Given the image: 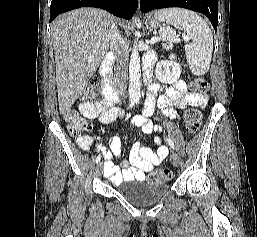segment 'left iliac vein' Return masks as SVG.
Returning a JSON list of instances; mask_svg holds the SVG:
<instances>
[{
	"label": "left iliac vein",
	"instance_id": "1",
	"mask_svg": "<svg viewBox=\"0 0 257 237\" xmlns=\"http://www.w3.org/2000/svg\"><path fill=\"white\" fill-rule=\"evenodd\" d=\"M171 160L175 166H178L180 164V157L176 152H173L171 154Z\"/></svg>",
	"mask_w": 257,
	"mask_h": 237
}]
</instances>
